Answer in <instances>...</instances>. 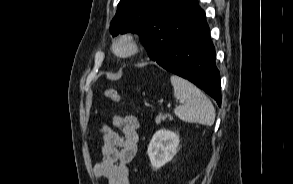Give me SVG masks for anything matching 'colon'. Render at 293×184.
<instances>
[{"mask_svg": "<svg viewBox=\"0 0 293 184\" xmlns=\"http://www.w3.org/2000/svg\"><path fill=\"white\" fill-rule=\"evenodd\" d=\"M104 94L108 99H110L113 102H122V96L113 88H106Z\"/></svg>", "mask_w": 293, "mask_h": 184, "instance_id": "obj_1", "label": "colon"}]
</instances>
